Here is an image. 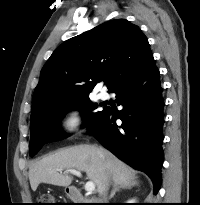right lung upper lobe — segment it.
Instances as JSON below:
<instances>
[{"label":"right lung upper lobe","mask_w":200,"mask_h":205,"mask_svg":"<svg viewBox=\"0 0 200 205\" xmlns=\"http://www.w3.org/2000/svg\"><path fill=\"white\" fill-rule=\"evenodd\" d=\"M153 60L148 40L125 19L107 21L62 43L41 70L30 120L50 102L89 96L101 78L113 92Z\"/></svg>","instance_id":"cb5924a9"}]
</instances>
